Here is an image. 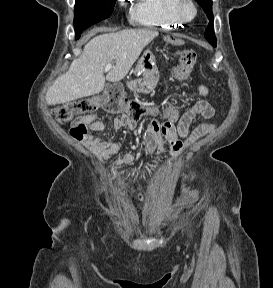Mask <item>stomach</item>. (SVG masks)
<instances>
[{
  "instance_id": "1",
  "label": "stomach",
  "mask_w": 273,
  "mask_h": 288,
  "mask_svg": "<svg viewBox=\"0 0 273 288\" xmlns=\"http://www.w3.org/2000/svg\"><path fill=\"white\" fill-rule=\"evenodd\" d=\"M155 62L156 59L154 54L150 49H147L135 67V73L143 75V79H138L128 83L129 88L132 91L138 93H150L153 91L156 83L155 73L157 71Z\"/></svg>"
}]
</instances>
